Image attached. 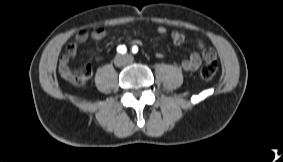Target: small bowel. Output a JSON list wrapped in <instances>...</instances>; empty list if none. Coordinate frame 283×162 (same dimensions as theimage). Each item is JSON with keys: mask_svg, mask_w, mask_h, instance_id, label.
<instances>
[{"mask_svg": "<svg viewBox=\"0 0 283 162\" xmlns=\"http://www.w3.org/2000/svg\"><path fill=\"white\" fill-rule=\"evenodd\" d=\"M157 32L161 35L166 34L167 30L163 26L157 27ZM106 31L104 28H97L93 32L88 33L86 31H80L76 34L75 39L71 42L66 49V52L63 54L60 60V65H67L68 61L74 58L77 54L78 47L81 43L85 42L87 39L91 38L93 40H101L105 37ZM171 40L173 44L180 45L185 40V35L179 31H173L170 34ZM195 44L197 45L200 52L192 51L189 52L188 57L181 62V68L187 72L196 71L202 63V60H206L209 55H213L216 58L213 50L206 48L204 42L196 38ZM134 44H141L139 40H132ZM157 58H161V53H156Z\"/></svg>", "mask_w": 283, "mask_h": 162, "instance_id": "small-bowel-1", "label": "small bowel"}]
</instances>
